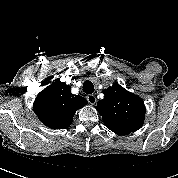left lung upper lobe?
<instances>
[{"label":"left lung upper lobe","mask_w":178,"mask_h":178,"mask_svg":"<svg viewBox=\"0 0 178 178\" xmlns=\"http://www.w3.org/2000/svg\"><path fill=\"white\" fill-rule=\"evenodd\" d=\"M103 93L105 96L99 100L96 109L108 129L119 135H127L143 125L145 105L140 97L118 83L103 90Z\"/></svg>","instance_id":"left-lung-upper-lobe-1"}]
</instances>
